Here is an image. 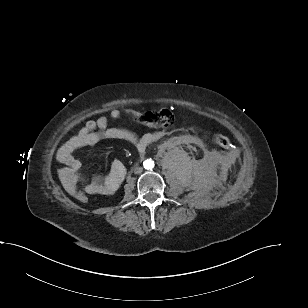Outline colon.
<instances>
[{
  "label": "colon",
  "instance_id": "5ec220e1",
  "mask_svg": "<svg viewBox=\"0 0 308 308\" xmlns=\"http://www.w3.org/2000/svg\"><path fill=\"white\" fill-rule=\"evenodd\" d=\"M135 120L147 127L150 128H161L167 127L173 123V114L168 109H162L156 112H145L135 114ZM215 143L222 148L230 147V140L228 137L222 134H217L214 138ZM74 198L85 204L88 202V194L83 190H78L74 193Z\"/></svg>",
  "mask_w": 308,
  "mask_h": 308
}]
</instances>
